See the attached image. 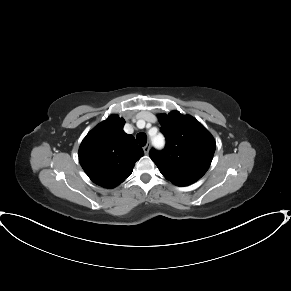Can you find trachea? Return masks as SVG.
<instances>
[{"instance_id":"obj_1","label":"trachea","mask_w":291,"mask_h":291,"mask_svg":"<svg viewBox=\"0 0 291 291\" xmlns=\"http://www.w3.org/2000/svg\"><path fill=\"white\" fill-rule=\"evenodd\" d=\"M137 142L140 146H145L147 142V137L145 133H138L136 136Z\"/></svg>"}]
</instances>
